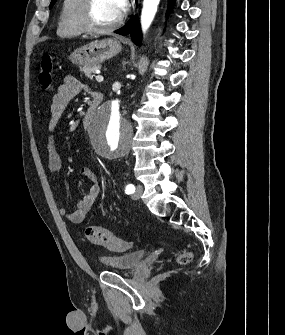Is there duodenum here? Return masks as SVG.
Returning a JSON list of instances; mask_svg holds the SVG:
<instances>
[{
  "mask_svg": "<svg viewBox=\"0 0 285 335\" xmlns=\"http://www.w3.org/2000/svg\"><path fill=\"white\" fill-rule=\"evenodd\" d=\"M97 101H94L89 107L88 109L86 110L84 116H83V126L84 127H87L88 124H89V121L91 119V117L94 115L95 113V110L97 108Z\"/></svg>",
  "mask_w": 285,
  "mask_h": 335,
  "instance_id": "duodenum-1",
  "label": "duodenum"
}]
</instances>
